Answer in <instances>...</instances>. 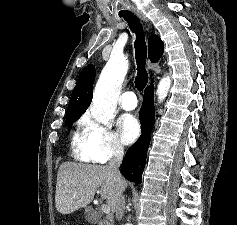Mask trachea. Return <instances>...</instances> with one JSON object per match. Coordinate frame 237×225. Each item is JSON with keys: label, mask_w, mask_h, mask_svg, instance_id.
<instances>
[{"label": "trachea", "mask_w": 237, "mask_h": 225, "mask_svg": "<svg viewBox=\"0 0 237 225\" xmlns=\"http://www.w3.org/2000/svg\"><path fill=\"white\" fill-rule=\"evenodd\" d=\"M128 25L130 30L136 34L135 40V59L137 63V76L135 78V86L139 91H142L148 83V73L146 71L147 45L143 27L139 19L132 12L121 15Z\"/></svg>", "instance_id": "1"}]
</instances>
